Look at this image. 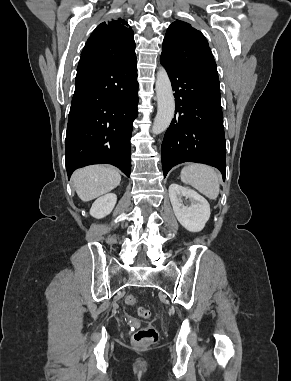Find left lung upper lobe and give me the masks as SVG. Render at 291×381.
<instances>
[{"mask_svg":"<svg viewBox=\"0 0 291 381\" xmlns=\"http://www.w3.org/2000/svg\"><path fill=\"white\" fill-rule=\"evenodd\" d=\"M161 56L195 77L219 82L216 63L205 36L184 21L176 20L169 26Z\"/></svg>","mask_w":291,"mask_h":381,"instance_id":"obj_1","label":"left lung upper lobe"}]
</instances>
